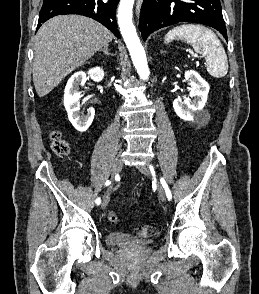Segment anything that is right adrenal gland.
<instances>
[{
    "label": "right adrenal gland",
    "mask_w": 259,
    "mask_h": 294,
    "mask_svg": "<svg viewBox=\"0 0 259 294\" xmlns=\"http://www.w3.org/2000/svg\"><path fill=\"white\" fill-rule=\"evenodd\" d=\"M99 52H103L105 55H110L108 45H106L103 49L99 50Z\"/></svg>",
    "instance_id": "2a0ac1e0"
}]
</instances>
